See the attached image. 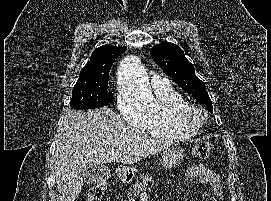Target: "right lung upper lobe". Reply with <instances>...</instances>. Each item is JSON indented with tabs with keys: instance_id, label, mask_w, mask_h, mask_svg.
I'll list each match as a JSON object with an SVG mask.
<instances>
[{
	"instance_id": "1",
	"label": "right lung upper lobe",
	"mask_w": 271,
	"mask_h": 201,
	"mask_svg": "<svg viewBox=\"0 0 271 201\" xmlns=\"http://www.w3.org/2000/svg\"><path fill=\"white\" fill-rule=\"evenodd\" d=\"M125 50L126 47H116L108 44L95 49L90 61L82 68L79 77L109 75L113 62Z\"/></svg>"
}]
</instances>
